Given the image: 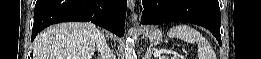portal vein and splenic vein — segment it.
<instances>
[{"mask_svg": "<svg viewBox=\"0 0 261 59\" xmlns=\"http://www.w3.org/2000/svg\"><path fill=\"white\" fill-rule=\"evenodd\" d=\"M163 53H167V51L164 50V49L156 50V51L154 52V56H159V55H161V54H163Z\"/></svg>", "mask_w": 261, "mask_h": 59, "instance_id": "obj_1", "label": "portal vein and splenic vein"}]
</instances>
